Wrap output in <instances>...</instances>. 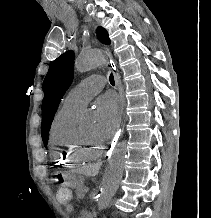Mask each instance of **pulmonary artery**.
Returning <instances> with one entry per match:
<instances>
[{
  "label": "pulmonary artery",
  "mask_w": 211,
  "mask_h": 218,
  "mask_svg": "<svg viewBox=\"0 0 211 218\" xmlns=\"http://www.w3.org/2000/svg\"><path fill=\"white\" fill-rule=\"evenodd\" d=\"M101 79V76L94 75L83 80L82 83L69 91L63 99V106L81 111L98 91H102L103 87L107 86V83Z\"/></svg>",
  "instance_id": "e3ab8cb5"
}]
</instances>
